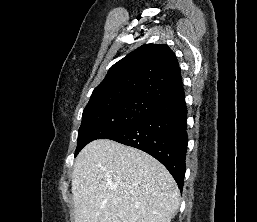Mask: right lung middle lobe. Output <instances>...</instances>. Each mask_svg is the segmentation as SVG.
I'll use <instances>...</instances> for the list:
<instances>
[{
	"instance_id": "right-lung-middle-lobe-1",
	"label": "right lung middle lobe",
	"mask_w": 257,
	"mask_h": 222,
	"mask_svg": "<svg viewBox=\"0 0 257 222\" xmlns=\"http://www.w3.org/2000/svg\"><path fill=\"white\" fill-rule=\"evenodd\" d=\"M159 105L155 101L141 97L89 101L83 110L75 156L89 142L109 138L128 128L154 111Z\"/></svg>"
}]
</instances>
